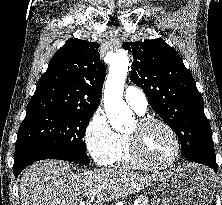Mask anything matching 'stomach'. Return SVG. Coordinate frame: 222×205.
<instances>
[{
	"mask_svg": "<svg viewBox=\"0 0 222 205\" xmlns=\"http://www.w3.org/2000/svg\"><path fill=\"white\" fill-rule=\"evenodd\" d=\"M213 196L211 172L187 165L160 176L153 205H211Z\"/></svg>",
	"mask_w": 222,
	"mask_h": 205,
	"instance_id": "1",
	"label": "stomach"
}]
</instances>
